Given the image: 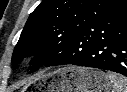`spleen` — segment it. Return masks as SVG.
Segmentation results:
<instances>
[{"mask_svg":"<svg viewBox=\"0 0 127 92\" xmlns=\"http://www.w3.org/2000/svg\"><path fill=\"white\" fill-rule=\"evenodd\" d=\"M107 77L113 84L112 92H127V78L116 73L108 72Z\"/></svg>","mask_w":127,"mask_h":92,"instance_id":"1","label":"spleen"}]
</instances>
